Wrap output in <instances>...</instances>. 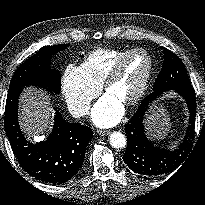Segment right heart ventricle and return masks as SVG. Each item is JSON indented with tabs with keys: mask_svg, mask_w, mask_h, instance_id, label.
Segmentation results:
<instances>
[{
	"mask_svg": "<svg viewBox=\"0 0 205 205\" xmlns=\"http://www.w3.org/2000/svg\"><path fill=\"white\" fill-rule=\"evenodd\" d=\"M132 49H97L88 54L80 65L84 75L94 84L101 86L115 63Z\"/></svg>",
	"mask_w": 205,
	"mask_h": 205,
	"instance_id": "e07e8e85",
	"label": "right heart ventricle"
}]
</instances>
